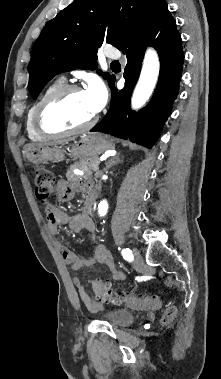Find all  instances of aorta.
I'll use <instances>...</instances> for the list:
<instances>
[{"label": "aorta", "mask_w": 221, "mask_h": 379, "mask_svg": "<svg viewBox=\"0 0 221 379\" xmlns=\"http://www.w3.org/2000/svg\"><path fill=\"white\" fill-rule=\"evenodd\" d=\"M160 63L154 49H148L145 53L139 80L134 89L131 105L133 109H139L151 96L159 75ZM108 210L107 201L103 200L98 205V214L105 216Z\"/></svg>", "instance_id": "762f6f07"}]
</instances>
